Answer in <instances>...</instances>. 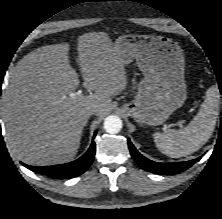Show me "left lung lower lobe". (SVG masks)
<instances>
[{
    "label": "left lung lower lobe",
    "instance_id": "1",
    "mask_svg": "<svg viewBox=\"0 0 222 219\" xmlns=\"http://www.w3.org/2000/svg\"><path fill=\"white\" fill-rule=\"evenodd\" d=\"M128 146L130 153L135 160V162L144 170L154 173V174H176L182 172L189 167H191L195 162L200 160L201 157L185 162H175V163H157L153 162L144 156H142L128 139Z\"/></svg>",
    "mask_w": 222,
    "mask_h": 219
}]
</instances>
